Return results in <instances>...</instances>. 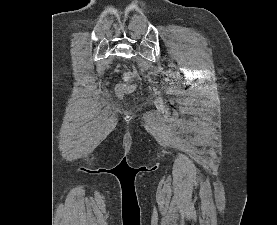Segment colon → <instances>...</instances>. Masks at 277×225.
<instances>
[{
	"instance_id": "obj_1",
	"label": "colon",
	"mask_w": 277,
	"mask_h": 225,
	"mask_svg": "<svg viewBox=\"0 0 277 225\" xmlns=\"http://www.w3.org/2000/svg\"><path fill=\"white\" fill-rule=\"evenodd\" d=\"M136 91V86L130 83V76H126V82L119 84L115 88V92L119 97H124L126 95L132 94Z\"/></svg>"
}]
</instances>
